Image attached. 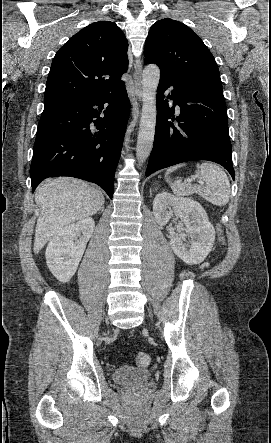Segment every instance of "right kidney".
I'll list each match as a JSON object with an SVG mask.
<instances>
[{"label":"right kidney","mask_w":271,"mask_h":443,"mask_svg":"<svg viewBox=\"0 0 271 443\" xmlns=\"http://www.w3.org/2000/svg\"><path fill=\"white\" fill-rule=\"evenodd\" d=\"M94 229L93 218H84L77 223L65 225L59 233L51 237L45 255L51 273L59 281H70Z\"/></svg>","instance_id":"right-kidney-1"}]
</instances>
